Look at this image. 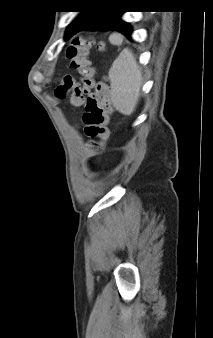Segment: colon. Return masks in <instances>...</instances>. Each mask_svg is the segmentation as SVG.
Masks as SVG:
<instances>
[{
	"instance_id": "5ec220e1",
	"label": "colon",
	"mask_w": 213,
	"mask_h": 338,
	"mask_svg": "<svg viewBox=\"0 0 213 338\" xmlns=\"http://www.w3.org/2000/svg\"><path fill=\"white\" fill-rule=\"evenodd\" d=\"M95 44L92 37H75L66 50L70 66L80 74V84H76L71 75L64 76L58 84L56 96L64 98L71 92V103L79 106L83 92L87 93L82 122L87 138L93 143L105 140L110 132L109 126V88L104 82L96 81V68L90 63L88 54ZM97 47L104 49V43L98 42Z\"/></svg>"
}]
</instances>
